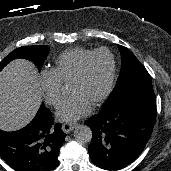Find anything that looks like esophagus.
I'll use <instances>...</instances> for the list:
<instances>
[{"instance_id": "1", "label": "esophagus", "mask_w": 171, "mask_h": 171, "mask_svg": "<svg viewBox=\"0 0 171 171\" xmlns=\"http://www.w3.org/2000/svg\"><path fill=\"white\" fill-rule=\"evenodd\" d=\"M76 126H77V123H72V122L64 123L62 125V131L64 133H70Z\"/></svg>"}]
</instances>
